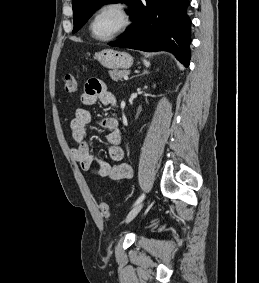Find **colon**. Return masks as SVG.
<instances>
[{
  "instance_id": "obj_1",
  "label": "colon",
  "mask_w": 259,
  "mask_h": 283,
  "mask_svg": "<svg viewBox=\"0 0 259 283\" xmlns=\"http://www.w3.org/2000/svg\"><path fill=\"white\" fill-rule=\"evenodd\" d=\"M64 90L68 95H74L77 91V81L72 73H67L64 77ZM100 212L108 216L109 215V206L107 203L102 202L99 204Z\"/></svg>"
}]
</instances>
